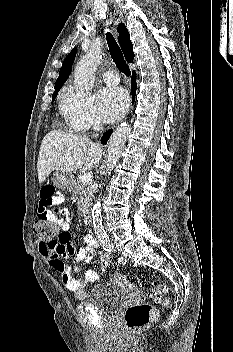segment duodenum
<instances>
[{
	"mask_svg": "<svg viewBox=\"0 0 233 352\" xmlns=\"http://www.w3.org/2000/svg\"><path fill=\"white\" fill-rule=\"evenodd\" d=\"M84 219L88 224H92L93 219H92V213L90 209H86L84 211Z\"/></svg>",
	"mask_w": 233,
	"mask_h": 352,
	"instance_id": "duodenum-1",
	"label": "duodenum"
}]
</instances>
